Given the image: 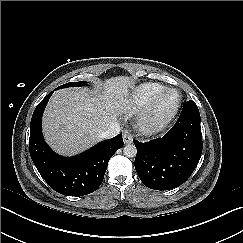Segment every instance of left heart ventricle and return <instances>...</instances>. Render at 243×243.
<instances>
[{
    "instance_id": "obj_1",
    "label": "left heart ventricle",
    "mask_w": 243,
    "mask_h": 243,
    "mask_svg": "<svg viewBox=\"0 0 243 243\" xmlns=\"http://www.w3.org/2000/svg\"><path fill=\"white\" fill-rule=\"evenodd\" d=\"M178 99V96L175 92L167 93L161 102V110L168 111L174 107Z\"/></svg>"
}]
</instances>
